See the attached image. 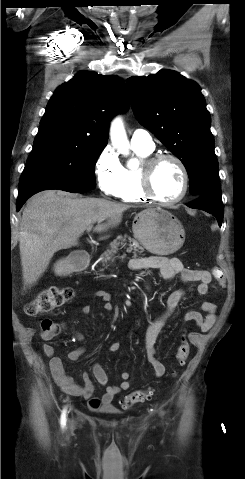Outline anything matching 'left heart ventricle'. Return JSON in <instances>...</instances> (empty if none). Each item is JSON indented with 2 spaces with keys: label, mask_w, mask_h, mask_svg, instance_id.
<instances>
[{
  "label": "left heart ventricle",
  "mask_w": 245,
  "mask_h": 479,
  "mask_svg": "<svg viewBox=\"0 0 245 479\" xmlns=\"http://www.w3.org/2000/svg\"><path fill=\"white\" fill-rule=\"evenodd\" d=\"M183 177L176 163L166 160L156 168L153 176V187L163 200H172L181 193Z\"/></svg>",
  "instance_id": "obj_1"
}]
</instances>
